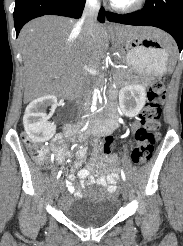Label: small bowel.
Listing matches in <instances>:
<instances>
[{
  "label": "small bowel",
  "mask_w": 183,
  "mask_h": 246,
  "mask_svg": "<svg viewBox=\"0 0 183 246\" xmlns=\"http://www.w3.org/2000/svg\"><path fill=\"white\" fill-rule=\"evenodd\" d=\"M115 126L111 123L97 124L93 127V132L97 136H108L112 133ZM86 136V135H85ZM52 149L56 155L62 159L65 156L70 157L71 154L66 150L65 140L62 135H56L52 140ZM87 150L86 148H81L77 153V160L71 167L70 173L68 175V182L74 180V174L77 171V176L80 179V185L89 186L92 184H99L101 186L107 187L109 191L114 192L116 189V182L118 179V172L115 169L116 157H104V162L108 165L110 172L104 175H91L93 172H97L102 163L100 157V150L94 151V158L87 168L79 169L83 161L86 159ZM68 183V191L74 193L76 187ZM63 202L67 201V197H62Z\"/></svg>",
  "instance_id": "obj_1"
}]
</instances>
